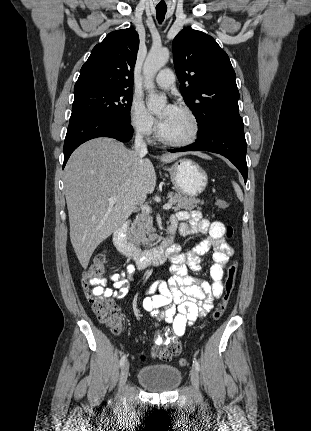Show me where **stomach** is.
Returning <instances> with one entry per match:
<instances>
[{"label":"stomach","instance_id":"obj_1","mask_svg":"<svg viewBox=\"0 0 311 431\" xmlns=\"http://www.w3.org/2000/svg\"><path fill=\"white\" fill-rule=\"evenodd\" d=\"M171 182L178 194H184L189 198H197L207 188L208 176L196 162L182 158L167 168Z\"/></svg>","mask_w":311,"mask_h":431}]
</instances>
